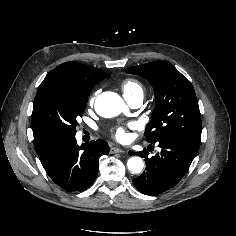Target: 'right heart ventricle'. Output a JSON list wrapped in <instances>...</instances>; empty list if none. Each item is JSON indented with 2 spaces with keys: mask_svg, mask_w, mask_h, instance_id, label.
Wrapping results in <instances>:
<instances>
[{
  "mask_svg": "<svg viewBox=\"0 0 236 236\" xmlns=\"http://www.w3.org/2000/svg\"><path fill=\"white\" fill-rule=\"evenodd\" d=\"M121 88L126 99L139 96L143 97L144 87L136 79L133 78L125 79L121 84Z\"/></svg>",
  "mask_w": 236,
  "mask_h": 236,
  "instance_id": "e07e8e85",
  "label": "right heart ventricle"
}]
</instances>
